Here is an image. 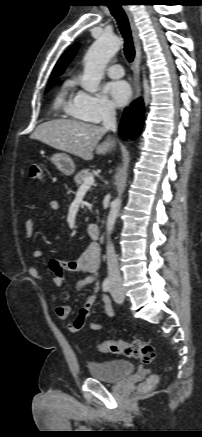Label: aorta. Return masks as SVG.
<instances>
[{
    "label": "aorta",
    "mask_w": 202,
    "mask_h": 437,
    "mask_svg": "<svg viewBox=\"0 0 202 437\" xmlns=\"http://www.w3.org/2000/svg\"><path fill=\"white\" fill-rule=\"evenodd\" d=\"M120 39L115 35H102L89 48L84 58V71L81 86L84 90L95 93L103 77L105 68L110 59L119 51ZM121 199L117 197L111 203V210L107 218V231L112 232L119 211Z\"/></svg>",
    "instance_id": "obj_1"
}]
</instances>
